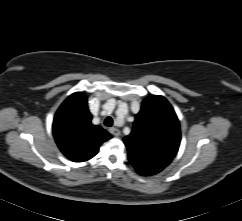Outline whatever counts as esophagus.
I'll return each mask as SVG.
<instances>
[{"label": "esophagus", "mask_w": 242, "mask_h": 221, "mask_svg": "<svg viewBox=\"0 0 242 221\" xmlns=\"http://www.w3.org/2000/svg\"><path fill=\"white\" fill-rule=\"evenodd\" d=\"M109 131H110V133L113 134L114 136H119V135H120V130L117 129V128L112 127V128L109 129Z\"/></svg>", "instance_id": "34e87169"}]
</instances>
